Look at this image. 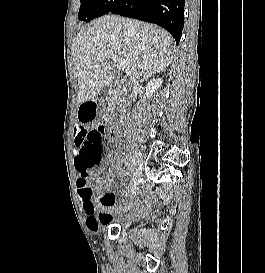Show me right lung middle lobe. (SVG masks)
<instances>
[{
    "label": "right lung middle lobe",
    "instance_id": "1",
    "mask_svg": "<svg viewBox=\"0 0 265 273\" xmlns=\"http://www.w3.org/2000/svg\"><path fill=\"white\" fill-rule=\"evenodd\" d=\"M118 0H80L78 19L90 22L94 18L109 13Z\"/></svg>",
    "mask_w": 265,
    "mask_h": 273
}]
</instances>
